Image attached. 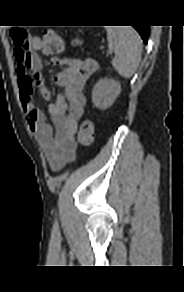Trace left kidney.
<instances>
[{
  "label": "left kidney",
  "mask_w": 184,
  "mask_h": 292,
  "mask_svg": "<svg viewBox=\"0 0 184 292\" xmlns=\"http://www.w3.org/2000/svg\"><path fill=\"white\" fill-rule=\"evenodd\" d=\"M121 92V86L114 79H100L93 87L92 102L95 107L105 110L109 108Z\"/></svg>",
  "instance_id": "left-kidney-1"
}]
</instances>
